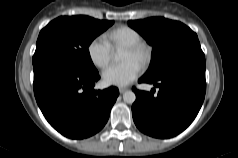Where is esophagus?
<instances>
[{"instance_id":"obj_1","label":"esophagus","mask_w":238,"mask_h":158,"mask_svg":"<svg viewBox=\"0 0 238 158\" xmlns=\"http://www.w3.org/2000/svg\"><path fill=\"white\" fill-rule=\"evenodd\" d=\"M128 90V88H125V87H121V88H119V92L122 94V93H124L125 91H127Z\"/></svg>"}]
</instances>
